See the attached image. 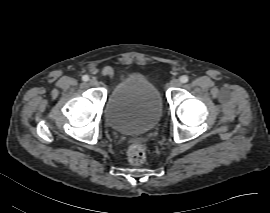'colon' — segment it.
I'll list each match as a JSON object with an SVG mask.
<instances>
[{
    "instance_id": "colon-1",
    "label": "colon",
    "mask_w": 270,
    "mask_h": 213,
    "mask_svg": "<svg viewBox=\"0 0 270 213\" xmlns=\"http://www.w3.org/2000/svg\"><path fill=\"white\" fill-rule=\"evenodd\" d=\"M126 157L129 163L138 165L144 162L146 158V148L139 140L132 141L126 151Z\"/></svg>"
}]
</instances>
